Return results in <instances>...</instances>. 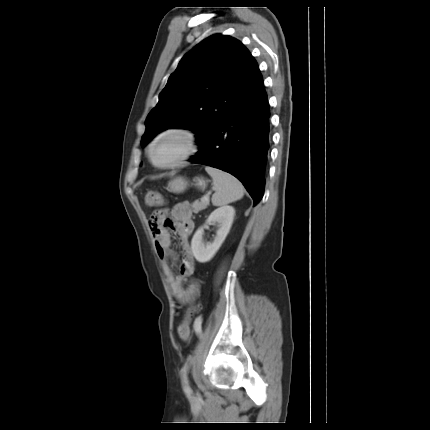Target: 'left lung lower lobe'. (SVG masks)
I'll return each instance as SVG.
<instances>
[{
  "mask_svg": "<svg viewBox=\"0 0 430 430\" xmlns=\"http://www.w3.org/2000/svg\"><path fill=\"white\" fill-rule=\"evenodd\" d=\"M256 88L235 102L213 127L197 136L199 152L188 161L212 166L238 178L258 204L264 194L268 162L269 103L260 70Z\"/></svg>",
  "mask_w": 430,
  "mask_h": 430,
  "instance_id": "0a47b994",
  "label": "left lung lower lobe"
}]
</instances>
